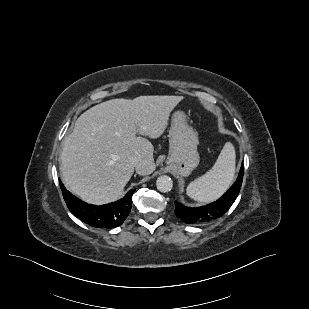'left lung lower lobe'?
Segmentation results:
<instances>
[{"mask_svg":"<svg viewBox=\"0 0 309 309\" xmlns=\"http://www.w3.org/2000/svg\"><path fill=\"white\" fill-rule=\"evenodd\" d=\"M244 174V165L241 169L236 182L232 187L217 201L199 208L186 207L175 202V214L186 224L201 225L209 223L223 216L237 198L241 189Z\"/></svg>","mask_w":309,"mask_h":309,"instance_id":"obj_1","label":"left lung lower lobe"}]
</instances>
